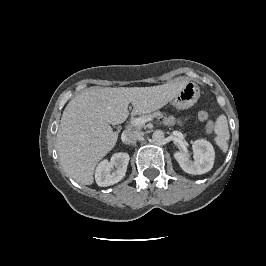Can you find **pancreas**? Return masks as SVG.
<instances>
[{
	"mask_svg": "<svg viewBox=\"0 0 266 266\" xmlns=\"http://www.w3.org/2000/svg\"><path fill=\"white\" fill-rule=\"evenodd\" d=\"M140 117H152V118H163V113L160 111L153 112L152 114H145ZM133 124V123H132ZM134 125V124H133ZM135 126V125H134ZM138 128H141L142 126H137Z\"/></svg>",
	"mask_w": 266,
	"mask_h": 266,
	"instance_id": "1",
	"label": "pancreas"
}]
</instances>
